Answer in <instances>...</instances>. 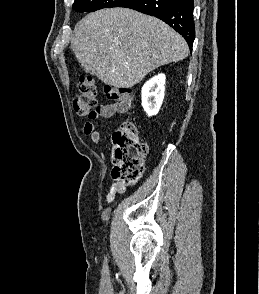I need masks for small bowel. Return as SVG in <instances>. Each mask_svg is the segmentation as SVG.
I'll return each instance as SVG.
<instances>
[{
    "instance_id": "small-bowel-1",
    "label": "small bowel",
    "mask_w": 259,
    "mask_h": 294,
    "mask_svg": "<svg viewBox=\"0 0 259 294\" xmlns=\"http://www.w3.org/2000/svg\"><path fill=\"white\" fill-rule=\"evenodd\" d=\"M127 110V106L119 103L113 102L109 104H101L97 107L94 117L89 118V120L83 126V132L86 136L90 137L91 141L95 144H100L102 140V134L99 130L95 129L94 120L98 118H109L116 114H122ZM126 191V186L124 183L116 181L114 182L107 195V203H112L116 195H122Z\"/></svg>"
}]
</instances>
